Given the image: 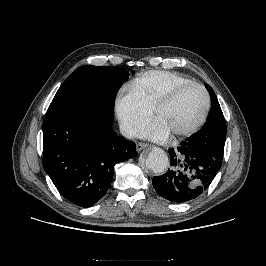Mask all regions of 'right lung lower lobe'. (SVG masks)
Listing matches in <instances>:
<instances>
[{"instance_id": "1", "label": "right lung lower lobe", "mask_w": 266, "mask_h": 266, "mask_svg": "<svg viewBox=\"0 0 266 266\" xmlns=\"http://www.w3.org/2000/svg\"><path fill=\"white\" fill-rule=\"evenodd\" d=\"M102 108L51 103L43 123V167L59 193L80 207L100 200L111 185L115 164L134 157L135 143L112 129Z\"/></svg>"}]
</instances>
